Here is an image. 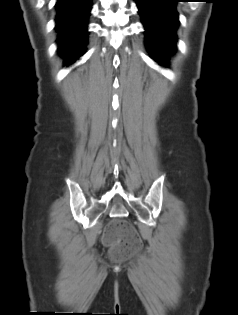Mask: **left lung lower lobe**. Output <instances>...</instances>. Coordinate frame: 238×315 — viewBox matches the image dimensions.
I'll use <instances>...</instances> for the list:
<instances>
[{
    "instance_id": "obj_1",
    "label": "left lung lower lobe",
    "mask_w": 238,
    "mask_h": 315,
    "mask_svg": "<svg viewBox=\"0 0 238 315\" xmlns=\"http://www.w3.org/2000/svg\"><path fill=\"white\" fill-rule=\"evenodd\" d=\"M145 27V45L151 57L161 65H169L176 52L179 26L176 3L180 0H133Z\"/></svg>"
}]
</instances>
